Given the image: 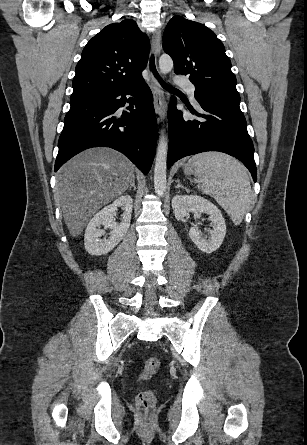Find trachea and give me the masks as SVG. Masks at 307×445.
<instances>
[{"mask_svg": "<svg viewBox=\"0 0 307 445\" xmlns=\"http://www.w3.org/2000/svg\"><path fill=\"white\" fill-rule=\"evenodd\" d=\"M150 69L154 73L155 77L159 80V82L163 88H165L166 90H177V89H174V87H171L170 85H168V83H165L164 80H162V78L158 75L157 70L155 69V62H154L153 55L150 59Z\"/></svg>", "mask_w": 307, "mask_h": 445, "instance_id": "trachea-1", "label": "trachea"}]
</instances>
